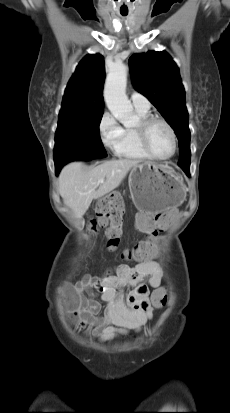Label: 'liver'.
I'll return each instance as SVG.
<instances>
[{
    "instance_id": "liver-1",
    "label": "liver",
    "mask_w": 230,
    "mask_h": 413,
    "mask_svg": "<svg viewBox=\"0 0 230 413\" xmlns=\"http://www.w3.org/2000/svg\"><path fill=\"white\" fill-rule=\"evenodd\" d=\"M139 161L118 159L88 168L81 162L67 164L59 175V193L75 218L81 219L93 199L100 198L117 188L131 168ZM103 179V183H98Z\"/></svg>"
}]
</instances>
